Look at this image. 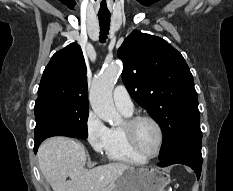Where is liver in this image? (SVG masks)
<instances>
[{
	"mask_svg": "<svg viewBox=\"0 0 233 191\" xmlns=\"http://www.w3.org/2000/svg\"><path fill=\"white\" fill-rule=\"evenodd\" d=\"M37 157L39 169L53 191H101L130 168L124 163H109L86 169L83 144L60 136L44 141Z\"/></svg>",
	"mask_w": 233,
	"mask_h": 191,
	"instance_id": "1",
	"label": "liver"
}]
</instances>
